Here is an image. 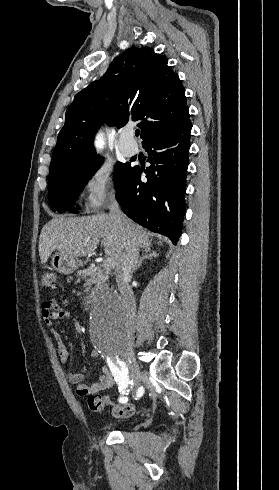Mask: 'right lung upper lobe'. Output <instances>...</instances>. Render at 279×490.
<instances>
[{"label": "right lung upper lobe", "mask_w": 279, "mask_h": 490, "mask_svg": "<svg viewBox=\"0 0 279 490\" xmlns=\"http://www.w3.org/2000/svg\"><path fill=\"white\" fill-rule=\"evenodd\" d=\"M138 121L142 143L190 122L185 90L164 56L148 47L116 57L99 81L80 91L58 135L49 178L98 156L93 137L105 122L121 128Z\"/></svg>", "instance_id": "cb5924a9"}]
</instances>
